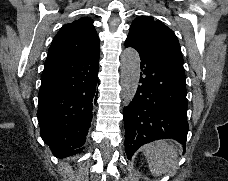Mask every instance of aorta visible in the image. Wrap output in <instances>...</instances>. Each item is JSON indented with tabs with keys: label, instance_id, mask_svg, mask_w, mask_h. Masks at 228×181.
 Wrapping results in <instances>:
<instances>
[{
	"label": "aorta",
	"instance_id": "obj_1",
	"mask_svg": "<svg viewBox=\"0 0 228 181\" xmlns=\"http://www.w3.org/2000/svg\"><path fill=\"white\" fill-rule=\"evenodd\" d=\"M140 57L134 48L124 49L121 55V95L130 103L137 91L140 77Z\"/></svg>",
	"mask_w": 228,
	"mask_h": 181
}]
</instances>
